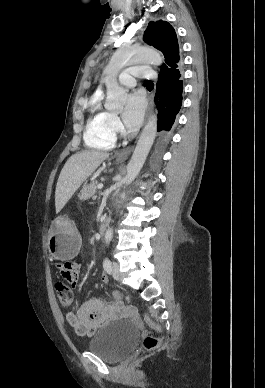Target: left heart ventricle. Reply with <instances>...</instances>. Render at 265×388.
Masks as SVG:
<instances>
[{
  "mask_svg": "<svg viewBox=\"0 0 265 388\" xmlns=\"http://www.w3.org/2000/svg\"><path fill=\"white\" fill-rule=\"evenodd\" d=\"M121 88V91H131V89L133 88V86H119Z\"/></svg>",
  "mask_w": 265,
  "mask_h": 388,
  "instance_id": "b2bd125f",
  "label": "left heart ventricle"
}]
</instances>
